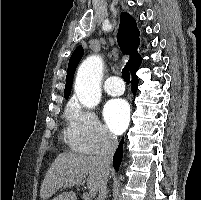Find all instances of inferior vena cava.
<instances>
[{
    "instance_id": "602c4592",
    "label": "inferior vena cava",
    "mask_w": 201,
    "mask_h": 200,
    "mask_svg": "<svg viewBox=\"0 0 201 200\" xmlns=\"http://www.w3.org/2000/svg\"><path fill=\"white\" fill-rule=\"evenodd\" d=\"M118 146L117 138L109 133L103 135L100 149L96 155V161L103 170L104 180L102 182L101 188L98 194V200H105L107 195V173L109 171V164L112 160L113 154Z\"/></svg>"
}]
</instances>
